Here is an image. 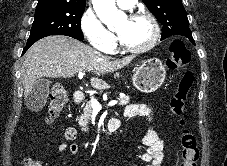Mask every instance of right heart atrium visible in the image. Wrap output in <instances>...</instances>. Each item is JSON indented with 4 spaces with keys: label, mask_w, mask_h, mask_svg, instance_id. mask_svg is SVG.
<instances>
[{
    "label": "right heart atrium",
    "mask_w": 227,
    "mask_h": 166,
    "mask_svg": "<svg viewBox=\"0 0 227 166\" xmlns=\"http://www.w3.org/2000/svg\"><path fill=\"white\" fill-rule=\"evenodd\" d=\"M80 30L86 40L95 49H112L114 38L94 11L88 9L82 14L80 18Z\"/></svg>",
    "instance_id": "1"
}]
</instances>
